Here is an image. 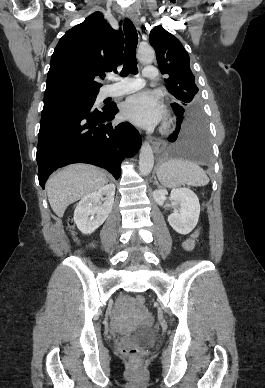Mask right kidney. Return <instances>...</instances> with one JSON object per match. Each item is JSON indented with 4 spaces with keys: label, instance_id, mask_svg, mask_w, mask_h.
<instances>
[{
    "label": "right kidney",
    "instance_id": "right-kidney-1",
    "mask_svg": "<svg viewBox=\"0 0 265 388\" xmlns=\"http://www.w3.org/2000/svg\"><path fill=\"white\" fill-rule=\"evenodd\" d=\"M115 188L114 184H107L80 200L74 212V222L82 234H92L107 220L114 204Z\"/></svg>",
    "mask_w": 265,
    "mask_h": 388
}]
</instances>
